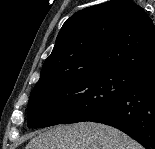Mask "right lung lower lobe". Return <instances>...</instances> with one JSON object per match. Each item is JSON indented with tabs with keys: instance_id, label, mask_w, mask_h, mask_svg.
Segmentation results:
<instances>
[{
	"instance_id": "1",
	"label": "right lung lower lobe",
	"mask_w": 155,
	"mask_h": 149,
	"mask_svg": "<svg viewBox=\"0 0 155 149\" xmlns=\"http://www.w3.org/2000/svg\"><path fill=\"white\" fill-rule=\"evenodd\" d=\"M91 121L118 128L146 149H155V72L142 75Z\"/></svg>"
}]
</instances>
